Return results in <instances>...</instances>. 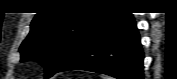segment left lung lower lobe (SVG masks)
<instances>
[{"label": "left lung lower lobe", "instance_id": "1", "mask_svg": "<svg viewBox=\"0 0 177 79\" xmlns=\"http://www.w3.org/2000/svg\"><path fill=\"white\" fill-rule=\"evenodd\" d=\"M143 57L133 16L109 12L57 72L87 70L118 79H143Z\"/></svg>", "mask_w": 177, "mask_h": 79}]
</instances>
